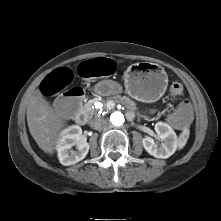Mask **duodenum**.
Masks as SVG:
<instances>
[{"instance_id":"410a0bca","label":"duodenum","mask_w":221,"mask_h":221,"mask_svg":"<svg viewBox=\"0 0 221 221\" xmlns=\"http://www.w3.org/2000/svg\"><path fill=\"white\" fill-rule=\"evenodd\" d=\"M75 120L78 124L84 125V124H86V122L88 120V116L84 110H80L77 113Z\"/></svg>"}]
</instances>
